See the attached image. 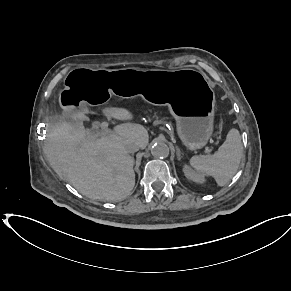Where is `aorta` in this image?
Segmentation results:
<instances>
[{
    "label": "aorta",
    "instance_id": "762f6f07",
    "mask_svg": "<svg viewBox=\"0 0 291 291\" xmlns=\"http://www.w3.org/2000/svg\"><path fill=\"white\" fill-rule=\"evenodd\" d=\"M169 152V147L165 143H156L151 148V154L156 158H166Z\"/></svg>",
    "mask_w": 291,
    "mask_h": 291
}]
</instances>
